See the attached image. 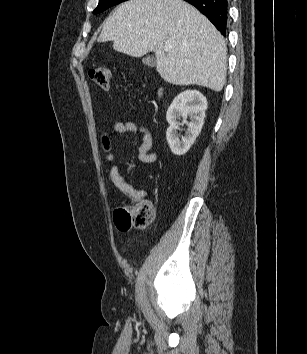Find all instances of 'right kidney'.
<instances>
[{
    "label": "right kidney",
    "instance_id": "ca27d5eb",
    "mask_svg": "<svg viewBox=\"0 0 307 354\" xmlns=\"http://www.w3.org/2000/svg\"><path fill=\"white\" fill-rule=\"evenodd\" d=\"M207 109L206 97L197 90H186L177 95L169 106L166 114L169 128L166 132L167 142L173 154L184 155L195 142L204 124ZM191 121L187 122V117ZM183 118L188 130L181 140L177 134L179 129L178 119Z\"/></svg>",
    "mask_w": 307,
    "mask_h": 354
}]
</instances>
